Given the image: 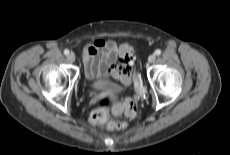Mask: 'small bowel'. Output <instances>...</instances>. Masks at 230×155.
Segmentation results:
<instances>
[{
	"instance_id": "c3829d8e",
	"label": "small bowel",
	"mask_w": 230,
	"mask_h": 155,
	"mask_svg": "<svg viewBox=\"0 0 230 155\" xmlns=\"http://www.w3.org/2000/svg\"><path fill=\"white\" fill-rule=\"evenodd\" d=\"M127 45L117 46L113 41L92 40L83 48L84 72L89 79H113L128 86L131 76L123 68L124 49Z\"/></svg>"
}]
</instances>
